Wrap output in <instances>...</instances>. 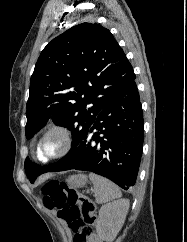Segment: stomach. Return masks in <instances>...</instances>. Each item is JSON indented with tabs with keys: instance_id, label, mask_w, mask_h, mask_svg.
<instances>
[{
	"instance_id": "stomach-1",
	"label": "stomach",
	"mask_w": 187,
	"mask_h": 242,
	"mask_svg": "<svg viewBox=\"0 0 187 242\" xmlns=\"http://www.w3.org/2000/svg\"><path fill=\"white\" fill-rule=\"evenodd\" d=\"M87 182L86 175L78 174V175H72L67 179V183L74 188H80L83 187Z\"/></svg>"
}]
</instances>
